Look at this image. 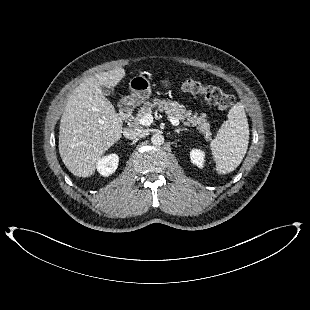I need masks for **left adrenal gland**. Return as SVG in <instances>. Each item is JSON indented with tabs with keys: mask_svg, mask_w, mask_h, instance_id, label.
Masks as SVG:
<instances>
[{
	"mask_svg": "<svg viewBox=\"0 0 310 310\" xmlns=\"http://www.w3.org/2000/svg\"><path fill=\"white\" fill-rule=\"evenodd\" d=\"M180 131H187V128H178L175 130L176 133H179Z\"/></svg>",
	"mask_w": 310,
	"mask_h": 310,
	"instance_id": "obj_1",
	"label": "left adrenal gland"
}]
</instances>
